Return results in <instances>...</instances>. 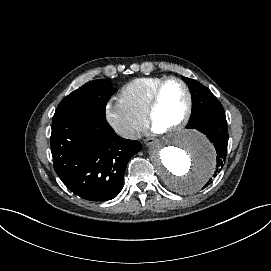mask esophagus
Segmentation results:
<instances>
[{"label":"esophagus","instance_id":"34e87169","mask_svg":"<svg viewBox=\"0 0 271 271\" xmlns=\"http://www.w3.org/2000/svg\"><path fill=\"white\" fill-rule=\"evenodd\" d=\"M156 141H157V138H155V137H149V138H146V139L144 140V143H145V145H147V146H151V145L155 144Z\"/></svg>","mask_w":271,"mask_h":271}]
</instances>
